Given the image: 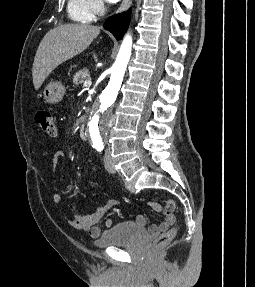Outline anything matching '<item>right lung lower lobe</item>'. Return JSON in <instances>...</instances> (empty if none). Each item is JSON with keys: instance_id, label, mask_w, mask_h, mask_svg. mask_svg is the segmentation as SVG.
Here are the masks:
<instances>
[{"instance_id": "98d812e1", "label": "right lung lower lobe", "mask_w": 255, "mask_h": 287, "mask_svg": "<svg viewBox=\"0 0 255 287\" xmlns=\"http://www.w3.org/2000/svg\"><path fill=\"white\" fill-rule=\"evenodd\" d=\"M130 21V11L109 17L105 24L104 28L110 31L117 40H120L124 32L127 30Z\"/></svg>"}]
</instances>
